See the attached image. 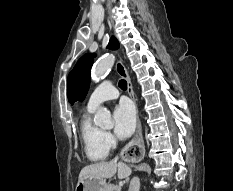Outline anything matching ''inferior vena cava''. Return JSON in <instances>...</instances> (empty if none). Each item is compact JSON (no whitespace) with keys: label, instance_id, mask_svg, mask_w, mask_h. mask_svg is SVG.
<instances>
[{"label":"inferior vena cava","instance_id":"1","mask_svg":"<svg viewBox=\"0 0 233 191\" xmlns=\"http://www.w3.org/2000/svg\"><path fill=\"white\" fill-rule=\"evenodd\" d=\"M118 158L116 157L115 158V161L117 160ZM139 188H140V180L138 177H134L131 182H130V188H129V191H139Z\"/></svg>","mask_w":233,"mask_h":191}]
</instances>
